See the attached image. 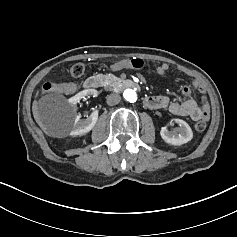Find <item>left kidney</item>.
Instances as JSON below:
<instances>
[{
    "label": "left kidney",
    "instance_id": "5707ae66",
    "mask_svg": "<svg viewBox=\"0 0 237 237\" xmlns=\"http://www.w3.org/2000/svg\"><path fill=\"white\" fill-rule=\"evenodd\" d=\"M176 122L179 124V133L173 134L171 131H168L166 128H162L160 131V136L164 142L173 146H181L186 144L193 138V131L191 127L182 119H176Z\"/></svg>",
    "mask_w": 237,
    "mask_h": 237
}]
</instances>
